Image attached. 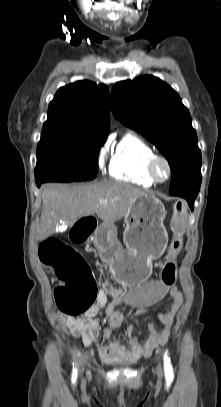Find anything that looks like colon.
<instances>
[{
  "label": "colon",
  "mask_w": 221,
  "mask_h": 407,
  "mask_svg": "<svg viewBox=\"0 0 221 407\" xmlns=\"http://www.w3.org/2000/svg\"><path fill=\"white\" fill-rule=\"evenodd\" d=\"M186 204L177 201L171 218L173 239L166 261L162 263L159 277H148L147 283H130L123 288L128 295V308L133 311H150L160 306L165 292H173L177 283V255L183 246L186 226ZM96 216H77L69 227L71 246H82L83 239L95 238ZM41 262L54 269L59 284L54 289L55 302L60 311L78 317L89 310L97 296V284L85 260L69 245L55 238H48L39 248Z\"/></svg>",
  "instance_id": "obj_1"
}]
</instances>
